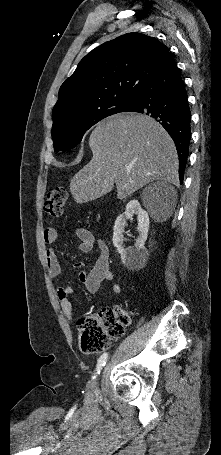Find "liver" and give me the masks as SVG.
Segmentation results:
<instances>
[{
    "instance_id": "obj_1",
    "label": "liver",
    "mask_w": 221,
    "mask_h": 455,
    "mask_svg": "<svg viewBox=\"0 0 221 455\" xmlns=\"http://www.w3.org/2000/svg\"><path fill=\"white\" fill-rule=\"evenodd\" d=\"M89 147L92 159L70 181L78 204L106 195L114 184L122 200L154 180L179 183L174 142L149 116L119 113L103 119L92 131Z\"/></svg>"
}]
</instances>
